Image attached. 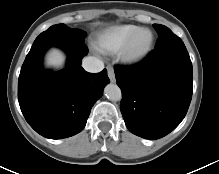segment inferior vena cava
I'll return each instance as SVG.
<instances>
[{"label":"inferior vena cava","mask_w":219,"mask_h":174,"mask_svg":"<svg viewBox=\"0 0 219 174\" xmlns=\"http://www.w3.org/2000/svg\"><path fill=\"white\" fill-rule=\"evenodd\" d=\"M83 68L90 73H98L103 70L104 63L95 57H86L82 61Z\"/></svg>","instance_id":"602c4592"}]
</instances>
